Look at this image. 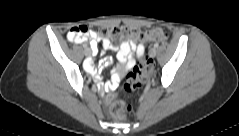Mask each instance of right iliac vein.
Instances as JSON below:
<instances>
[{
	"label": "right iliac vein",
	"instance_id": "1",
	"mask_svg": "<svg viewBox=\"0 0 239 136\" xmlns=\"http://www.w3.org/2000/svg\"><path fill=\"white\" fill-rule=\"evenodd\" d=\"M84 53L86 56H90L91 55V49L90 48H85Z\"/></svg>",
	"mask_w": 239,
	"mask_h": 136
}]
</instances>
